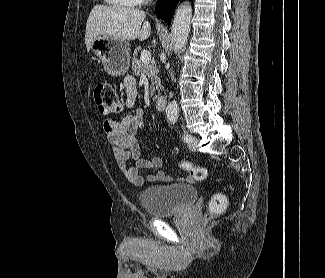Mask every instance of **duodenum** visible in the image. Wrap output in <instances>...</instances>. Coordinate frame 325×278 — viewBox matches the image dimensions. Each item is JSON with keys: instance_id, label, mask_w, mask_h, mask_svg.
Listing matches in <instances>:
<instances>
[{"instance_id": "obj_1", "label": "duodenum", "mask_w": 325, "mask_h": 278, "mask_svg": "<svg viewBox=\"0 0 325 278\" xmlns=\"http://www.w3.org/2000/svg\"><path fill=\"white\" fill-rule=\"evenodd\" d=\"M154 105H155V108L158 110V111H163L166 107V99L164 97H157L155 98L154 100Z\"/></svg>"}]
</instances>
